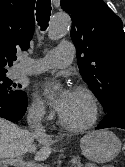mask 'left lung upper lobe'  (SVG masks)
I'll use <instances>...</instances> for the list:
<instances>
[{
    "label": "left lung upper lobe",
    "instance_id": "left-lung-upper-lobe-1",
    "mask_svg": "<svg viewBox=\"0 0 125 167\" xmlns=\"http://www.w3.org/2000/svg\"><path fill=\"white\" fill-rule=\"evenodd\" d=\"M60 5L72 19L71 39L80 73L104 112L125 104V33L121 19L102 0H61Z\"/></svg>",
    "mask_w": 125,
    "mask_h": 167
}]
</instances>
